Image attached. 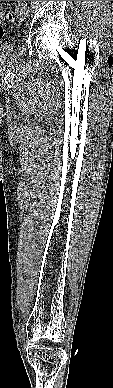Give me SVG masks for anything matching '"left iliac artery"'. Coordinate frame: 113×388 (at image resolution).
<instances>
[{
    "instance_id": "left-iliac-artery-1",
    "label": "left iliac artery",
    "mask_w": 113,
    "mask_h": 388,
    "mask_svg": "<svg viewBox=\"0 0 113 388\" xmlns=\"http://www.w3.org/2000/svg\"><path fill=\"white\" fill-rule=\"evenodd\" d=\"M23 6L25 7V9L27 10V12L29 13V9H28V7H27V4H26V2L25 1H23Z\"/></svg>"
}]
</instances>
